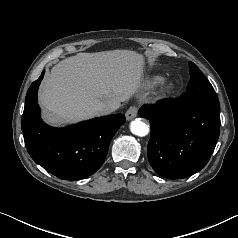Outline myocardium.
Wrapping results in <instances>:
<instances>
[{
	"mask_svg": "<svg viewBox=\"0 0 238 238\" xmlns=\"http://www.w3.org/2000/svg\"><path fill=\"white\" fill-rule=\"evenodd\" d=\"M172 88H173V85L170 82H167V81L161 82V93L163 95L169 93Z\"/></svg>",
	"mask_w": 238,
	"mask_h": 238,
	"instance_id": "1",
	"label": "myocardium"
}]
</instances>
